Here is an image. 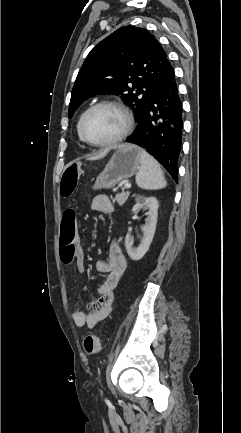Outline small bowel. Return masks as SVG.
<instances>
[{"instance_id":"1","label":"small bowel","mask_w":241,"mask_h":433,"mask_svg":"<svg viewBox=\"0 0 241 433\" xmlns=\"http://www.w3.org/2000/svg\"><path fill=\"white\" fill-rule=\"evenodd\" d=\"M62 181V179H60ZM92 209L100 214H112L114 206L110 198L106 195H97L92 200ZM77 223V221H76ZM63 228V226H61ZM77 229V228H76ZM76 266L80 272L85 269V255L83 249L76 252ZM99 273L106 274L107 277L97 290V297L88 305V310H76L72 318L76 326L93 328L103 321L111 312L114 301V291L126 270V259L117 242H112L109 246L108 260H99L95 264Z\"/></svg>"}]
</instances>
